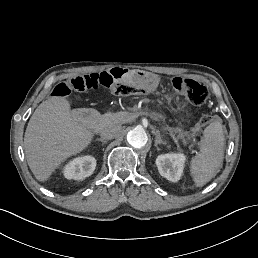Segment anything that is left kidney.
Here are the masks:
<instances>
[{"label":"left kidney","mask_w":258,"mask_h":258,"mask_svg":"<svg viewBox=\"0 0 258 258\" xmlns=\"http://www.w3.org/2000/svg\"><path fill=\"white\" fill-rule=\"evenodd\" d=\"M186 156L183 153H167L156 158V165L161 176L172 182L180 180Z\"/></svg>","instance_id":"5707ae66"}]
</instances>
